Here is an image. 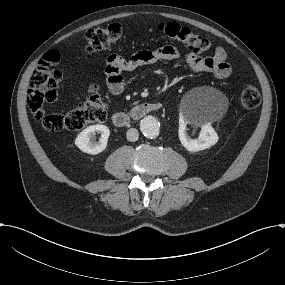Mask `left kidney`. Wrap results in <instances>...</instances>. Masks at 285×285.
Returning a JSON list of instances; mask_svg holds the SVG:
<instances>
[{
	"instance_id": "left-kidney-1",
	"label": "left kidney",
	"mask_w": 285,
	"mask_h": 285,
	"mask_svg": "<svg viewBox=\"0 0 285 285\" xmlns=\"http://www.w3.org/2000/svg\"><path fill=\"white\" fill-rule=\"evenodd\" d=\"M179 140L182 146L189 153H198L206 149H210L217 144L219 136L209 122H205L201 127L200 141L192 140L188 138L186 132V123H182L179 126Z\"/></svg>"
}]
</instances>
